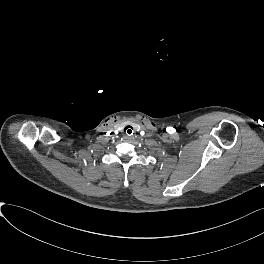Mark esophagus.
I'll use <instances>...</instances> for the list:
<instances>
[{"instance_id":"obj_1","label":"esophagus","mask_w":264,"mask_h":264,"mask_svg":"<svg viewBox=\"0 0 264 264\" xmlns=\"http://www.w3.org/2000/svg\"><path fill=\"white\" fill-rule=\"evenodd\" d=\"M130 139L129 136H125V140L128 141Z\"/></svg>"}]
</instances>
